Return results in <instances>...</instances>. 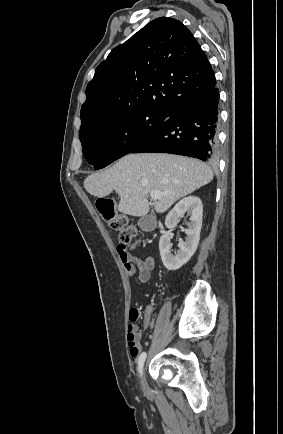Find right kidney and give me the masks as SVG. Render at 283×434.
<instances>
[{
  "label": "right kidney",
  "mask_w": 283,
  "mask_h": 434,
  "mask_svg": "<svg viewBox=\"0 0 283 434\" xmlns=\"http://www.w3.org/2000/svg\"><path fill=\"white\" fill-rule=\"evenodd\" d=\"M190 215L188 228L185 230V241L179 240V250L172 254L171 239L173 234L168 232L159 240V250L164 266L171 271L178 270L186 264L195 253L200 240L202 226L203 205L196 196H189L180 200L166 217L165 225L173 230L185 213Z\"/></svg>",
  "instance_id": "right-kidney-1"
}]
</instances>
